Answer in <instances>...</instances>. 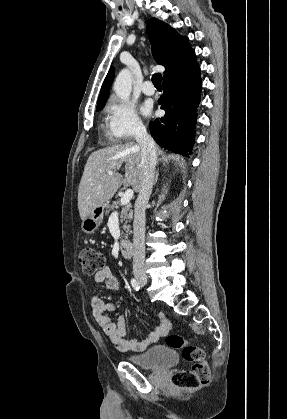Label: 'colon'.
<instances>
[{
    "instance_id": "5ec220e1",
    "label": "colon",
    "mask_w": 287,
    "mask_h": 419,
    "mask_svg": "<svg viewBox=\"0 0 287 419\" xmlns=\"http://www.w3.org/2000/svg\"><path fill=\"white\" fill-rule=\"evenodd\" d=\"M79 258L86 275H93L105 268L104 255L94 248L82 249ZM166 344L173 349L181 350L184 360L192 364L189 370H181L171 376L172 385L185 389L205 386L209 381L210 371L204 350L177 334L168 335Z\"/></svg>"
}]
</instances>
